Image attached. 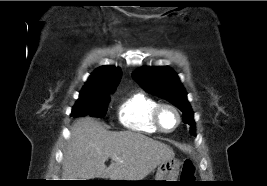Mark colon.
Segmentation results:
<instances>
[{
	"instance_id": "obj_1",
	"label": "colon",
	"mask_w": 267,
	"mask_h": 186,
	"mask_svg": "<svg viewBox=\"0 0 267 186\" xmlns=\"http://www.w3.org/2000/svg\"><path fill=\"white\" fill-rule=\"evenodd\" d=\"M195 178V165L191 160H185L182 165L181 179L183 181H193Z\"/></svg>"
}]
</instances>
